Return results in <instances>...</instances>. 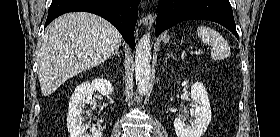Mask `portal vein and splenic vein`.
I'll return each mask as SVG.
<instances>
[{"label": "portal vein and splenic vein", "mask_w": 280, "mask_h": 137, "mask_svg": "<svg viewBox=\"0 0 280 137\" xmlns=\"http://www.w3.org/2000/svg\"><path fill=\"white\" fill-rule=\"evenodd\" d=\"M200 53H201V51H191L190 52L191 55H197V54H200Z\"/></svg>", "instance_id": "18ae733b"}]
</instances>
